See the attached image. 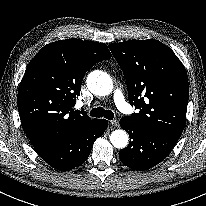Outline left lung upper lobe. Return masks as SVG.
<instances>
[{
    "label": "left lung upper lobe",
    "instance_id": "1",
    "mask_svg": "<svg viewBox=\"0 0 206 206\" xmlns=\"http://www.w3.org/2000/svg\"><path fill=\"white\" fill-rule=\"evenodd\" d=\"M109 48L127 81L129 102L138 113L123 117L136 127L180 138L189 97L186 70L157 40H129Z\"/></svg>",
    "mask_w": 206,
    "mask_h": 206
}]
</instances>
